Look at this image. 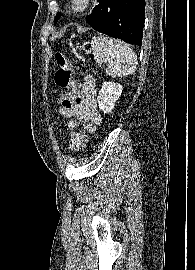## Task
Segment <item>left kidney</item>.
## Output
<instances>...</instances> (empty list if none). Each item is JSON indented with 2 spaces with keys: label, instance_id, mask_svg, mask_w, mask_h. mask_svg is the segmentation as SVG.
Segmentation results:
<instances>
[{
  "label": "left kidney",
  "instance_id": "5707ae66",
  "mask_svg": "<svg viewBox=\"0 0 195 270\" xmlns=\"http://www.w3.org/2000/svg\"><path fill=\"white\" fill-rule=\"evenodd\" d=\"M122 89L119 83L104 81L97 97L99 109L104 113H111L115 102L121 96Z\"/></svg>",
  "mask_w": 195,
  "mask_h": 270
}]
</instances>
